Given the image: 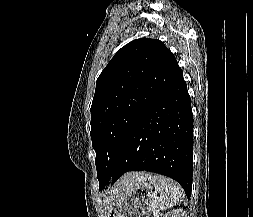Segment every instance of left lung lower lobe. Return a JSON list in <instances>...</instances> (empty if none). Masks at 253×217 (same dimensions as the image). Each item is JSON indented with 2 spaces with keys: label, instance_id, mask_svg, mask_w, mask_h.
<instances>
[{
  "label": "left lung lower lobe",
  "instance_id": "left-lung-lower-lobe-1",
  "mask_svg": "<svg viewBox=\"0 0 253 217\" xmlns=\"http://www.w3.org/2000/svg\"><path fill=\"white\" fill-rule=\"evenodd\" d=\"M192 155L193 115L181 73L131 125L109 182L115 183L128 171H150L179 182L189 198Z\"/></svg>",
  "mask_w": 253,
  "mask_h": 217
}]
</instances>
